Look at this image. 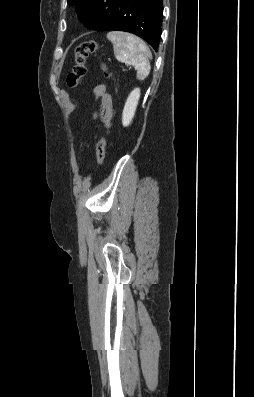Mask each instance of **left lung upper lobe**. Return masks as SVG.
<instances>
[{"label":"left lung upper lobe","mask_w":254,"mask_h":397,"mask_svg":"<svg viewBox=\"0 0 254 397\" xmlns=\"http://www.w3.org/2000/svg\"><path fill=\"white\" fill-rule=\"evenodd\" d=\"M70 5L76 7L78 15H82L81 21L87 28H95L102 21L103 13L107 7V0H67Z\"/></svg>","instance_id":"obj_1"}]
</instances>
